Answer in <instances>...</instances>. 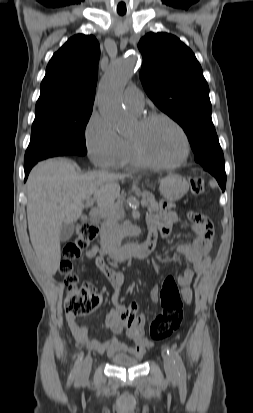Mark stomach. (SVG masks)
<instances>
[{"label": "stomach", "instance_id": "0dacf381", "mask_svg": "<svg viewBox=\"0 0 253 413\" xmlns=\"http://www.w3.org/2000/svg\"><path fill=\"white\" fill-rule=\"evenodd\" d=\"M160 193L169 201L181 199L189 190L188 181L178 174H170L160 181Z\"/></svg>", "mask_w": 253, "mask_h": 413}]
</instances>
